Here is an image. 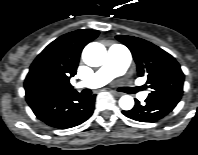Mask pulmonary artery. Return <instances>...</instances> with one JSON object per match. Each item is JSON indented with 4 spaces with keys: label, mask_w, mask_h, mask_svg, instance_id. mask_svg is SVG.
<instances>
[{
    "label": "pulmonary artery",
    "mask_w": 198,
    "mask_h": 155,
    "mask_svg": "<svg viewBox=\"0 0 198 155\" xmlns=\"http://www.w3.org/2000/svg\"><path fill=\"white\" fill-rule=\"evenodd\" d=\"M131 57L129 52L120 45H113L109 48L107 59L103 66L98 69L89 79L76 84L77 88L90 87L98 88L107 83L117 76L123 75L130 65ZM134 93L140 100L146 98L145 92H138L136 88L133 89Z\"/></svg>",
    "instance_id": "pulmonary-artery-1"
}]
</instances>
